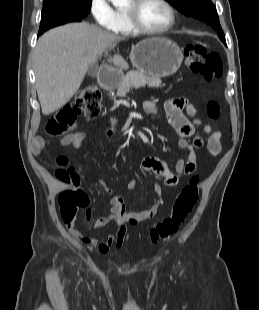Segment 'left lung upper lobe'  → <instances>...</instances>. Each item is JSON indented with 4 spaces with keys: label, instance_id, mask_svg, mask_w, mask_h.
Wrapping results in <instances>:
<instances>
[{
    "label": "left lung upper lobe",
    "instance_id": "obj_1",
    "mask_svg": "<svg viewBox=\"0 0 259 310\" xmlns=\"http://www.w3.org/2000/svg\"><path fill=\"white\" fill-rule=\"evenodd\" d=\"M181 13L195 17L206 22L218 32L219 37H224L221 29L216 7L211 0H167Z\"/></svg>",
    "mask_w": 259,
    "mask_h": 310
}]
</instances>
